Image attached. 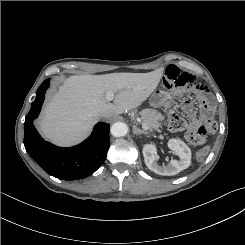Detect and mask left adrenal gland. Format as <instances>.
<instances>
[{"mask_svg":"<svg viewBox=\"0 0 245 245\" xmlns=\"http://www.w3.org/2000/svg\"><path fill=\"white\" fill-rule=\"evenodd\" d=\"M133 134H135V135H140V134L148 135V132L139 129L136 125H133Z\"/></svg>","mask_w":245,"mask_h":245,"instance_id":"obj_1","label":"left adrenal gland"}]
</instances>
